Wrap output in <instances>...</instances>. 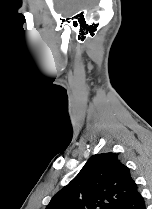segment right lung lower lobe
<instances>
[{
    "label": "right lung lower lobe",
    "mask_w": 152,
    "mask_h": 209,
    "mask_svg": "<svg viewBox=\"0 0 152 209\" xmlns=\"http://www.w3.org/2000/svg\"><path fill=\"white\" fill-rule=\"evenodd\" d=\"M117 209H146L144 198L136 190L130 198Z\"/></svg>",
    "instance_id": "1"
}]
</instances>
